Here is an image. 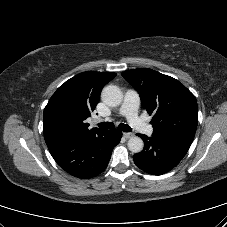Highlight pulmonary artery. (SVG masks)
Instances as JSON below:
<instances>
[{"mask_svg":"<svg viewBox=\"0 0 227 227\" xmlns=\"http://www.w3.org/2000/svg\"><path fill=\"white\" fill-rule=\"evenodd\" d=\"M139 102L140 99L137 92L128 90L125 93L123 103L119 109V114L125 116L134 129L150 136L153 133V128L138 116Z\"/></svg>","mask_w":227,"mask_h":227,"instance_id":"pulmonary-artery-1","label":"pulmonary artery"}]
</instances>
